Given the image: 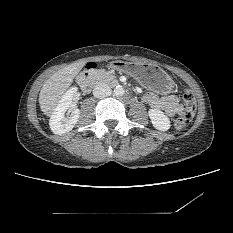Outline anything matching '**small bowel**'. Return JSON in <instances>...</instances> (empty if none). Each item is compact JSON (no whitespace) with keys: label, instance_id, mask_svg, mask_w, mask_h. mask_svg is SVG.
Returning <instances> with one entry per match:
<instances>
[{"label":"small bowel","instance_id":"c3829d8e","mask_svg":"<svg viewBox=\"0 0 233 233\" xmlns=\"http://www.w3.org/2000/svg\"><path fill=\"white\" fill-rule=\"evenodd\" d=\"M92 64H89V66ZM142 101L152 108L161 109L166 116L171 117L183 110V105L177 96L159 97L153 92H147L142 96Z\"/></svg>","mask_w":233,"mask_h":233}]
</instances>
